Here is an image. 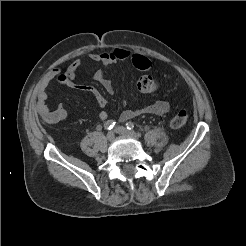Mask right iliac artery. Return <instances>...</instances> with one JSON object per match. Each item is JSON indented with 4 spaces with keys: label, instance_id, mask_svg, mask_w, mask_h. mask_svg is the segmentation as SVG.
<instances>
[{
    "label": "right iliac artery",
    "instance_id": "right-iliac-artery-1",
    "mask_svg": "<svg viewBox=\"0 0 246 246\" xmlns=\"http://www.w3.org/2000/svg\"><path fill=\"white\" fill-rule=\"evenodd\" d=\"M114 126H115V121H113V120H108L104 124V128L106 130H111V129H113Z\"/></svg>",
    "mask_w": 246,
    "mask_h": 246
}]
</instances>
